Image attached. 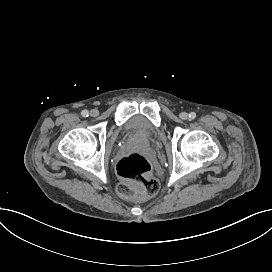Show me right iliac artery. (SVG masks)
<instances>
[{
    "instance_id": "obj_1",
    "label": "right iliac artery",
    "mask_w": 272,
    "mask_h": 272,
    "mask_svg": "<svg viewBox=\"0 0 272 272\" xmlns=\"http://www.w3.org/2000/svg\"><path fill=\"white\" fill-rule=\"evenodd\" d=\"M81 115H82L83 117H88V116H89V112H88L87 110H83V111L81 112Z\"/></svg>"
}]
</instances>
